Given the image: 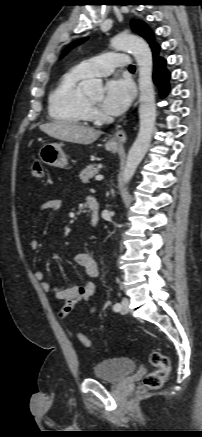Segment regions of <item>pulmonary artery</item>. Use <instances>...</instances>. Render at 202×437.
I'll use <instances>...</instances> for the list:
<instances>
[{
    "label": "pulmonary artery",
    "instance_id": "e3ab8cb5",
    "mask_svg": "<svg viewBox=\"0 0 202 437\" xmlns=\"http://www.w3.org/2000/svg\"><path fill=\"white\" fill-rule=\"evenodd\" d=\"M130 63V58L125 53H106L84 60L77 67L87 77H103L110 75L115 68L130 66Z\"/></svg>",
    "mask_w": 202,
    "mask_h": 437
}]
</instances>
